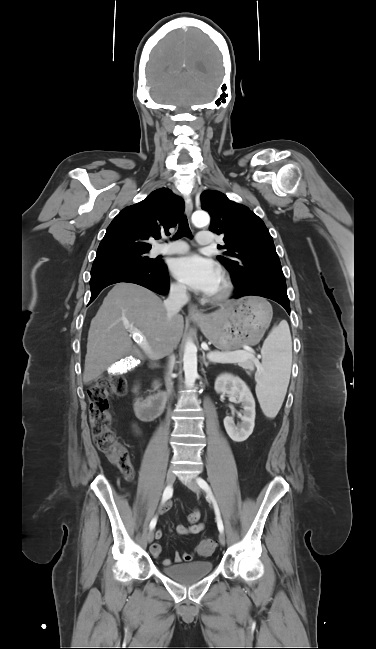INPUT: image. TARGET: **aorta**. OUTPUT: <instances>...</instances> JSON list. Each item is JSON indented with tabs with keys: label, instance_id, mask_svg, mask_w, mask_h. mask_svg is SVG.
I'll list each match as a JSON object with an SVG mask.
<instances>
[{
	"label": "aorta",
	"instance_id": "762f6f07",
	"mask_svg": "<svg viewBox=\"0 0 376 649\" xmlns=\"http://www.w3.org/2000/svg\"><path fill=\"white\" fill-rule=\"evenodd\" d=\"M192 222L196 227H204L209 224L210 217L206 212L197 211L192 215ZM183 370L185 373V383L192 386L197 377V348L192 341H187L183 355Z\"/></svg>",
	"mask_w": 376,
	"mask_h": 649
}]
</instances>
